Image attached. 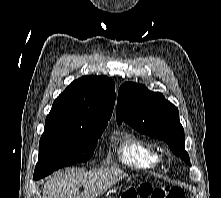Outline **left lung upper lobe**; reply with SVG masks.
I'll use <instances>...</instances> for the list:
<instances>
[{
    "mask_svg": "<svg viewBox=\"0 0 221 198\" xmlns=\"http://www.w3.org/2000/svg\"><path fill=\"white\" fill-rule=\"evenodd\" d=\"M116 119L118 124L124 121L140 133L164 140L175 155L190 164L178 109L161 93L149 91L137 83L122 84Z\"/></svg>",
    "mask_w": 221,
    "mask_h": 198,
    "instance_id": "5c2ea615",
    "label": "left lung upper lobe"
}]
</instances>
